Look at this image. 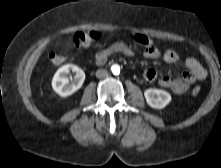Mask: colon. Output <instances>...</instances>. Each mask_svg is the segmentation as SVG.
I'll return each mask as SVG.
<instances>
[{
  "instance_id": "5ec220e1",
  "label": "colon",
  "mask_w": 221,
  "mask_h": 168,
  "mask_svg": "<svg viewBox=\"0 0 221 168\" xmlns=\"http://www.w3.org/2000/svg\"><path fill=\"white\" fill-rule=\"evenodd\" d=\"M101 34L98 32H77L73 35V43L76 47H85L93 42L100 40ZM135 42L145 48L153 46L152 40L144 34H136L134 36ZM49 60L54 65H60L65 62L66 58L58 53L52 52L49 54ZM200 87L196 86L192 90L193 95L200 93Z\"/></svg>"
}]
</instances>
